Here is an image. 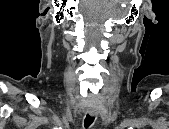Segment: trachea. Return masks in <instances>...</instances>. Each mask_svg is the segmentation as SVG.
<instances>
[{
  "label": "trachea",
  "mask_w": 169,
  "mask_h": 129,
  "mask_svg": "<svg viewBox=\"0 0 169 129\" xmlns=\"http://www.w3.org/2000/svg\"><path fill=\"white\" fill-rule=\"evenodd\" d=\"M94 119L95 118L93 116H91L90 114H87L84 119V127L89 128L91 124L93 123Z\"/></svg>",
  "instance_id": "obj_1"
}]
</instances>
